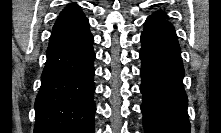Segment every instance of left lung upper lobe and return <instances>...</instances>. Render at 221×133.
Wrapping results in <instances>:
<instances>
[{
    "mask_svg": "<svg viewBox=\"0 0 221 133\" xmlns=\"http://www.w3.org/2000/svg\"><path fill=\"white\" fill-rule=\"evenodd\" d=\"M152 16H157V17H163V18H165V17H166V14L163 13V12H156V13L153 14Z\"/></svg>",
    "mask_w": 221,
    "mask_h": 133,
    "instance_id": "1",
    "label": "left lung upper lobe"
}]
</instances>
